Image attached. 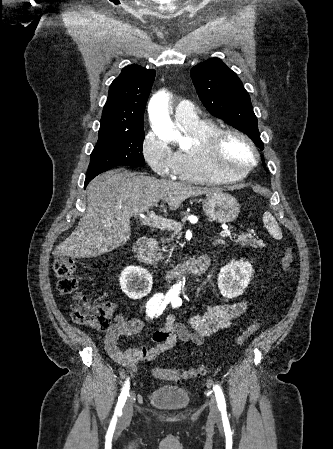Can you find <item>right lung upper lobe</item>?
<instances>
[{"label": "right lung upper lobe", "mask_w": 333, "mask_h": 449, "mask_svg": "<svg viewBox=\"0 0 333 449\" xmlns=\"http://www.w3.org/2000/svg\"><path fill=\"white\" fill-rule=\"evenodd\" d=\"M155 70L137 65L125 67L109 88L99 132L136 133L143 129L146 102Z\"/></svg>", "instance_id": "cb5924a9"}]
</instances>
